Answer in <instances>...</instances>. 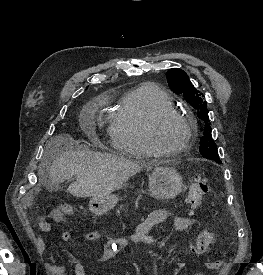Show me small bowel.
Here are the masks:
<instances>
[{
    "mask_svg": "<svg viewBox=\"0 0 263 275\" xmlns=\"http://www.w3.org/2000/svg\"><path fill=\"white\" fill-rule=\"evenodd\" d=\"M171 212L166 209H158L149 214V216L141 222L135 229L134 233L127 237H118L110 239L103 246L101 261L111 260L117 252L128 245L130 242L145 243L149 246L155 244V239L150 236L151 230L161 222H164L171 216ZM195 221L192 217L187 216H176L173 220V227L176 231H185L194 225ZM39 228L45 233H51V225L42 221L39 223ZM71 234L69 232H63L61 234V240L63 242L71 241ZM85 241L87 242H98L100 236L97 232L91 231L85 234ZM38 249L41 253L45 251V243L41 238L37 240ZM73 270L75 275H87L85 266L72 258ZM185 267V263H177L175 269L173 270V275H179L182 269ZM46 269L51 275H67V266L65 264H56L54 262H47Z\"/></svg>",
    "mask_w": 263,
    "mask_h": 275,
    "instance_id": "1",
    "label": "small bowel"
}]
</instances>
